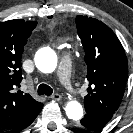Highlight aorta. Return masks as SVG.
Here are the masks:
<instances>
[{"instance_id":"aorta-1","label":"aorta","mask_w":133,"mask_h":133,"mask_svg":"<svg viewBox=\"0 0 133 133\" xmlns=\"http://www.w3.org/2000/svg\"><path fill=\"white\" fill-rule=\"evenodd\" d=\"M35 65L43 73H52L57 67V55L52 49H45L35 56ZM69 119L78 121L83 117V107L75 100L69 101L65 107Z\"/></svg>"}]
</instances>
